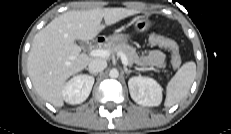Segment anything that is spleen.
Returning <instances> with one entry per match:
<instances>
[{"label": "spleen", "instance_id": "obj_1", "mask_svg": "<svg viewBox=\"0 0 231 134\" xmlns=\"http://www.w3.org/2000/svg\"><path fill=\"white\" fill-rule=\"evenodd\" d=\"M195 77V62L190 61L183 64L167 84L165 107H171L183 100L188 94Z\"/></svg>", "mask_w": 231, "mask_h": 134}]
</instances>
